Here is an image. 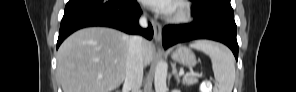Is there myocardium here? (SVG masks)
<instances>
[{"label":"myocardium","mask_w":296,"mask_h":92,"mask_svg":"<svg viewBox=\"0 0 296 92\" xmlns=\"http://www.w3.org/2000/svg\"><path fill=\"white\" fill-rule=\"evenodd\" d=\"M191 15L192 12L190 6L183 1H179L175 4V10L170 17V20L176 23L185 22L191 18Z\"/></svg>","instance_id":"myocardium-1"}]
</instances>
